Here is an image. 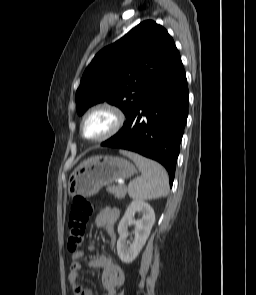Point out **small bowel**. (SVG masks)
Returning <instances> with one entry per match:
<instances>
[{
    "instance_id": "1",
    "label": "small bowel",
    "mask_w": 256,
    "mask_h": 295,
    "mask_svg": "<svg viewBox=\"0 0 256 295\" xmlns=\"http://www.w3.org/2000/svg\"><path fill=\"white\" fill-rule=\"evenodd\" d=\"M119 217L120 212L117 208L108 207L102 209L95 219V225L100 228H105L109 234L111 246L114 245L116 240L114 226ZM84 256L85 252L82 250L77 251L72 256L68 280L71 284L73 295H93L89 289L84 288L78 283L79 273L83 267L89 269L101 268V284L105 291V295H115L116 289L125 279L124 270L113 260L105 256L95 257L83 265L79 260H81Z\"/></svg>"
}]
</instances>
